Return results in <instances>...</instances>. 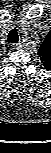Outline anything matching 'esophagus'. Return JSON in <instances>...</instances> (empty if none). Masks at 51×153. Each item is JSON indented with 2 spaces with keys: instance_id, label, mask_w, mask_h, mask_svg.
Segmentation results:
<instances>
[{
  "instance_id": "34e87169",
  "label": "esophagus",
  "mask_w": 51,
  "mask_h": 153,
  "mask_svg": "<svg viewBox=\"0 0 51 153\" xmlns=\"http://www.w3.org/2000/svg\"><path fill=\"white\" fill-rule=\"evenodd\" d=\"M20 48V44L16 43L12 45V49H19Z\"/></svg>"
}]
</instances>
